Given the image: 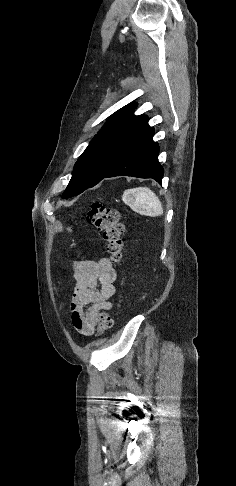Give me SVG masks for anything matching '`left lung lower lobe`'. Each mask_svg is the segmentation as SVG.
<instances>
[{"mask_svg":"<svg viewBox=\"0 0 236 486\" xmlns=\"http://www.w3.org/2000/svg\"><path fill=\"white\" fill-rule=\"evenodd\" d=\"M153 135V127L142 133L104 178L132 176L152 178L161 183L164 170L158 162L159 146L153 141Z\"/></svg>","mask_w":236,"mask_h":486,"instance_id":"obj_1","label":"left lung lower lobe"}]
</instances>
